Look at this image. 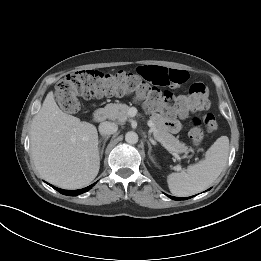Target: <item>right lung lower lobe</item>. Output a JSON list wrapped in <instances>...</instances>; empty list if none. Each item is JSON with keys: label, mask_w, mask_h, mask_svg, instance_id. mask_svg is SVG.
Instances as JSON below:
<instances>
[{"label": "right lung lower lobe", "mask_w": 261, "mask_h": 261, "mask_svg": "<svg viewBox=\"0 0 261 261\" xmlns=\"http://www.w3.org/2000/svg\"><path fill=\"white\" fill-rule=\"evenodd\" d=\"M93 185L94 184H92L86 188L80 189V190H63V189H59L56 187H54V189H56L58 192H60L61 194H64V195L76 196V195H79V194H82V193L88 191Z\"/></svg>", "instance_id": "right-lung-lower-lobe-1"}]
</instances>
